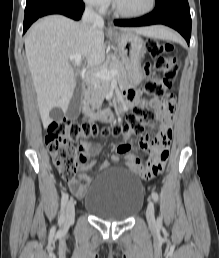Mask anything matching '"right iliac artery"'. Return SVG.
I'll use <instances>...</instances> for the list:
<instances>
[{
    "instance_id": "82829eb1",
    "label": "right iliac artery",
    "mask_w": 219,
    "mask_h": 258,
    "mask_svg": "<svg viewBox=\"0 0 219 258\" xmlns=\"http://www.w3.org/2000/svg\"><path fill=\"white\" fill-rule=\"evenodd\" d=\"M67 201H68V194L64 193L61 198V213H60V218H59L60 223H63L65 221L64 210H65Z\"/></svg>"
}]
</instances>
